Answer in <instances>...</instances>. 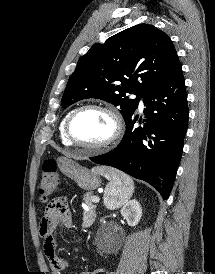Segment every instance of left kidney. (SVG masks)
<instances>
[{
    "mask_svg": "<svg viewBox=\"0 0 215 274\" xmlns=\"http://www.w3.org/2000/svg\"><path fill=\"white\" fill-rule=\"evenodd\" d=\"M121 214L129 226H136L142 217V208L137 200L127 202L121 209Z\"/></svg>",
    "mask_w": 215,
    "mask_h": 274,
    "instance_id": "obj_1",
    "label": "left kidney"
}]
</instances>
